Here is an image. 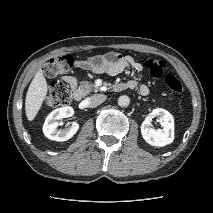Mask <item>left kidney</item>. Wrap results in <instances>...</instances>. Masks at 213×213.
<instances>
[{"label": "left kidney", "instance_id": "obj_1", "mask_svg": "<svg viewBox=\"0 0 213 213\" xmlns=\"http://www.w3.org/2000/svg\"><path fill=\"white\" fill-rule=\"evenodd\" d=\"M158 116L163 129H154L151 127V118ZM141 134L143 139L150 145L163 147L174 140V118L165 109H154L143 121L141 125Z\"/></svg>", "mask_w": 213, "mask_h": 213}]
</instances>
